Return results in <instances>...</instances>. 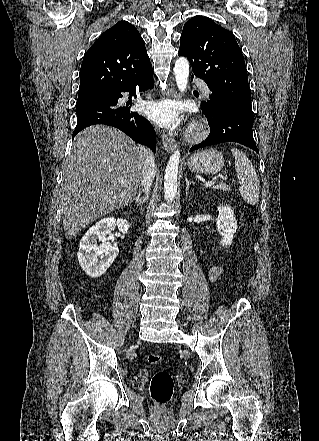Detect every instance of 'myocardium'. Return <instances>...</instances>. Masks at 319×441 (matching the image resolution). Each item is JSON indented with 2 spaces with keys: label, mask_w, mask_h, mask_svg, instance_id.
Wrapping results in <instances>:
<instances>
[{
  "label": "myocardium",
  "mask_w": 319,
  "mask_h": 441,
  "mask_svg": "<svg viewBox=\"0 0 319 441\" xmlns=\"http://www.w3.org/2000/svg\"><path fill=\"white\" fill-rule=\"evenodd\" d=\"M208 132L207 126L202 123L198 122L192 125V127L189 130L188 133V139L191 141H198L206 136Z\"/></svg>",
  "instance_id": "1"
}]
</instances>
